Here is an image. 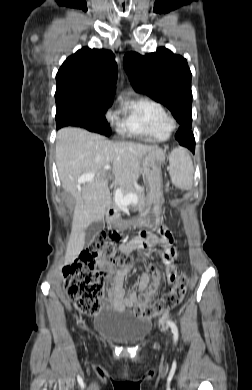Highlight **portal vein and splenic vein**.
Here are the masks:
<instances>
[{"label": "portal vein and splenic vein", "instance_id": "obj_1", "mask_svg": "<svg viewBox=\"0 0 252 390\" xmlns=\"http://www.w3.org/2000/svg\"><path fill=\"white\" fill-rule=\"evenodd\" d=\"M104 168L106 170H109L111 167L110 166H105ZM94 177H95V174L82 175L80 178H78V182L79 183L89 182V181H92ZM115 201L118 204L127 205V204H130V203H137L138 202V197L135 194H133V193H129L125 197H123L122 191L120 189H118L116 191V194H115Z\"/></svg>", "mask_w": 252, "mask_h": 390}]
</instances>
